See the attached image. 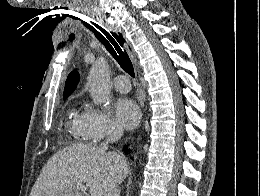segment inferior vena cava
<instances>
[{
    "label": "inferior vena cava",
    "mask_w": 260,
    "mask_h": 196,
    "mask_svg": "<svg viewBox=\"0 0 260 196\" xmlns=\"http://www.w3.org/2000/svg\"><path fill=\"white\" fill-rule=\"evenodd\" d=\"M121 136H122L121 130H112L111 134H109V136H108L107 140H105L104 144H101V146H100L101 152H106V150L108 148V144H112V142H117V140H119V138H121ZM112 196H120L119 188H116V190H114Z\"/></svg>",
    "instance_id": "obj_1"
}]
</instances>
